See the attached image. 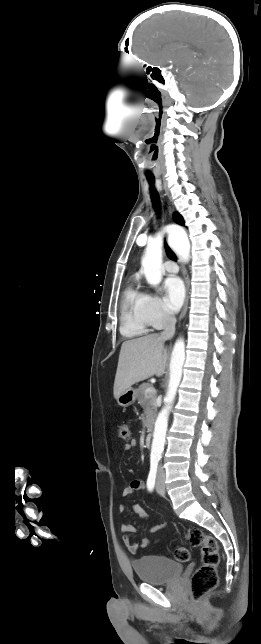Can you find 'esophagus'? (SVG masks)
I'll list each match as a JSON object with an SVG mask.
<instances>
[{
    "label": "esophagus",
    "mask_w": 261,
    "mask_h": 644,
    "mask_svg": "<svg viewBox=\"0 0 261 644\" xmlns=\"http://www.w3.org/2000/svg\"><path fill=\"white\" fill-rule=\"evenodd\" d=\"M170 213H172V210L170 209ZM184 274V281H185V287H186V296H185V301H184V306L180 314V318H183L186 315V312L188 310V304H189V294H190V280H189V275L186 270L183 271Z\"/></svg>",
    "instance_id": "1"
}]
</instances>
